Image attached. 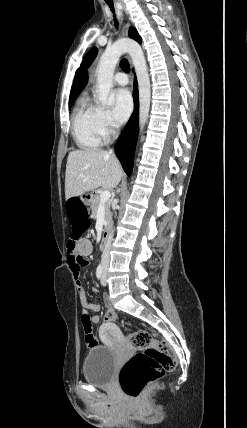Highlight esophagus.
<instances>
[{
  "mask_svg": "<svg viewBox=\"0 0 247 428\" xmlns=\"http://www.w3.org/2000/svg\"><path fill=\"white\" fill-rule=\"evenodd\" d=\"M130 24L127 23L124 27V33L127 34L128 33V29H129Z\"/></svg>",
  "mask_w": 247,
  "mask_h": 428,
  "instance_id": "1",
  "label": "esophagus"
}]
</instances>
